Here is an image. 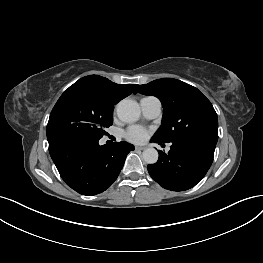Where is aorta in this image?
Returning a JSON list of instances; mask_svg holds the SVG:
<instances>
[{
    "mask_svg": "<svg viewBox=\"0 0 263 263\" xmlns=\"http://www.w3.org/2000/svg\"><path fill=\"white\" fill-rule=\"evenodd\" d=\"M118 118L125 123H132L140 117L139 104L131 99L120 101L116 108ZM158 152L154 148H147L142 153V158L147 164H155L158 160Z\"/></svg>",
    "mask_w": 263,
    "mask_h": 263,
    "instance_id": "obj_1",
    "label": "aorta"
}]
</instances>
